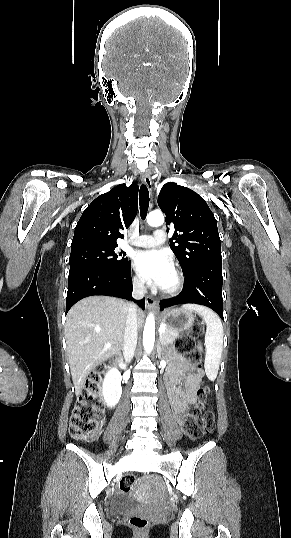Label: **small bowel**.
<instances>
[{
    "label": "small bowel",
    "mask_w": 291,
    "mask_h": 538,
    "mask_svg": "<svg viewBox=\"0 0 291 538\" xmlns=\"http://www.w3.org/2000/svg\"><path fill=\"white\" fill-rule=\"evenodd\" d=\"M166 382L177 418L182 420L186 406L196 402V389L199 382L198 372L185 360L177 358L172 363L171 369L166 376ZM182 382L185 385L184 389L180 387Z\"/></svg>",
    "instance_id": "c3829d8e"
}]
</instances>
